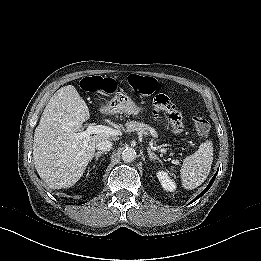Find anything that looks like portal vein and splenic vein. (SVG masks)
<instances>
[{"label":"portal vein and splenic vein","mask_w":261,"mask_h":261,"mask_svg":"<svg viewBox=\"0 0 261 261\" xmlns=\"http://www.w3.org/2000/svg\"><path fill=\"white\" fill-rule=\"evenodd\" d=\"M100 133H104V134H108L110 136H115V135H119L120 132L113 130L112 128L108 127V126H104V125H93V124H89L88 128L85 131L79 132L77 133V137L82 139V138H86L89 137L92 134H100ZM161 152H165L164 149H160ZM177 163V161H175Z\"/></svg>","instance_id":"18ae733b"}]
</instances>
